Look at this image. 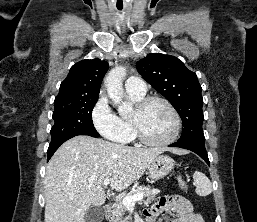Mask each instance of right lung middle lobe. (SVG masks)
Listing matches in <instances>:
<instances>
[{
	"mask_svg": "<svg viewBox=\"0 0 257 222\" xmlns=\"http://www.w3.org/2000/svg\"><path fill=\"white\" fill-rule=\"evenodd\" d=\"M98 95L54 102V126L51 143L54 144L77 135L99 137L92 121V110Z\"/></svg>",
	"mask_w": 257,
	"mask_h": 222,
	"instance_id": "obj_1",
	"label": "right lung middle lobe"
}]
</instances>
